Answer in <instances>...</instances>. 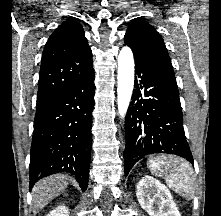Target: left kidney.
<instances>
[{"label": "left kidney", "instance_id": "left-kidney-1", "mask_svg": "<svg viewBox=\"0 0 221 216\" xmlns=\"http://www.w3.org/2000/svg\"><path fill=\"white\" fill-rule=\"evenodd\" d=\"M136 196L150 216H181L169 189L152 176L145 175L138 182Z\"/></svg>", "mask_w": 221, "mask_h": 216}]
</instances>
